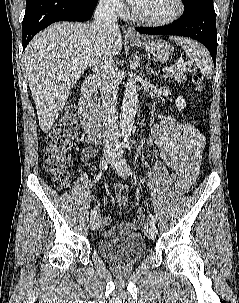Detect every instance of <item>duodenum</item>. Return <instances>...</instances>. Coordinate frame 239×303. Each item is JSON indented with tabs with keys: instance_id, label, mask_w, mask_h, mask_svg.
<instances>
[{
	"instance_id": "duodenum-1",
	"label": "duodenum",
	"mask_w": 239,
	"mask_h": 303,
	"mask_svg": "<svg viewBox=\"0 0 239 303\" xmlns=\"http://www.w3.org/2000/svg\"><path fill=\"white\" fill-rule=\"evenodd\" d=\"M97 80L96 75H90L83 82L80 89L79 108L80 118L84 129L94 137H101L104 133V118L95 108L91 96Z\"/></svg>"
}]
</instances>
